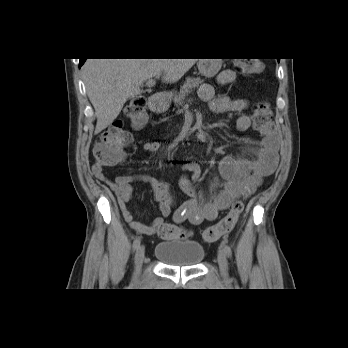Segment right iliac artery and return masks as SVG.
Returning a JSON list of instances; mask_svg holds the SVG:
<instances>
[{
    "label": "right iliac artery",
    "instance_id": "82829eb1",
    "mask_svg": "<svg viewBox=\"0 0 348 348\" xmlns=\"http://www.w3.org/2000/svg\"><path fill=\"white\" fill-rule=\"evenodd\" d=\"M140 245V238H135L134 242H133V250H137L138 247Z\"/></svg>",
    "mask_w": 348,
    "mask_h": 348
}]
</instances>
